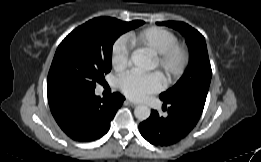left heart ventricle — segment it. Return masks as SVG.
<instances>
[{
  "label": "left heart ventricle",
  "instance_id": "b2bd125f",
  "mask_svg": "<svg viewBox=\"0 0 261 162\" xmlns=\"http://www.w3.org/2000/svg\"><path fill=\"white\" fill-rule=\"evenodd\" d=\"M153 67H157V61L155 60V58L153 59Z\"/></svg>",
  "mask_w": 261,
  "mask_h": 162
}]
</instances>
